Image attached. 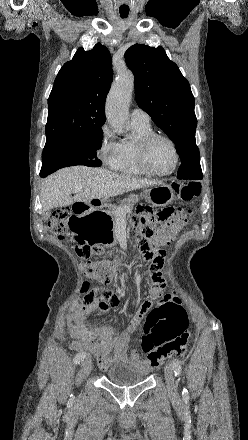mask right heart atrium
<instances>
[{"label":"right heart atrium","instance_id":"right-heart-atrium-1","mask_svg":"<svg viewBox=\"0 0 248 440\" xmlns=\"http://www.w3.org/2000/svg\"><path fill=\"white\" fill-rule=\"evenodd\" d=\"M120 143L116 141L113 131L108 124L101 128V138L97 154L101 162L110 169H114L119 157Z\"/></svg>","mask_w":248,"mask_h":440}]
</instances>
